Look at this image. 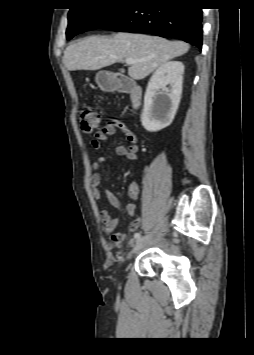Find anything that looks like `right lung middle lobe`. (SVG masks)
<instances>
[{
    "label": "right lung middle lobe",
    "mask_w": 254,
    "mask_h": 355,
    "mask_svg": "<svg viewBox=\"0 0 254 355\" xmlns=\"http://www.w3.org/2000/svg\"><path fill=\"white\" fill-rule=\"evenodd\" d=\"M132 1L90 0L86 6L71 8L68 15L67 39L100 28Z\"/></svg>",
    "instance_id": "1"
}]
</instances>
